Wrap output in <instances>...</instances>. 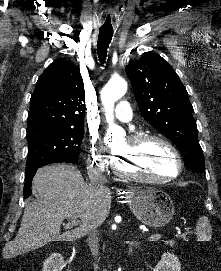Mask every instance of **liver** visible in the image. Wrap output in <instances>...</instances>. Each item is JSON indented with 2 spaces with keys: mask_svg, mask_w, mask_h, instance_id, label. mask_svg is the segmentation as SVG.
Wrapping results in <instances>:
<instances>
[{
  "mask_svg": "<svg viewBox=\"0 0 221 271\" xmlns=\"http://www.w3.org/2000/svg\"><path fill=\"white\" fill-rule=\"evenodd\" d=\"M32 191L38 201L26 203L19 231L13 241L5 243L3 257L21 255L48 241L79 239L88 233L91 223L105 221L110 211V197L97 195L75 165L40 167L33 177ZM68 217H79L81 223L61 233V223Z\"/></svg>",
  "mask_w": 221,
  "mask_h": 271,
  "instance_id": "6515ba94",
  "label": "liver"
}]
</instances>
